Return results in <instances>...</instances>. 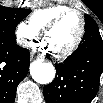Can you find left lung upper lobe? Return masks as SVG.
<instances>
[{
    "label": "left lung upper lobe",
    "instance_id": "5c2ea615",
    "mask_svg": "<svg viewBox=\"0 0 103 103\" xmlns=\"http://www.w3.org/2000/svg\"><path fill=\"white\" fill-rule=\"evenodd\" d=\"M93 27H97L96 22L91 16L86 14L85 15V30L93 28Z\"/></svg>",
    "mask_w": 103,
    "mask_h": 103
}]
</instances>
